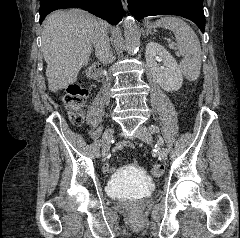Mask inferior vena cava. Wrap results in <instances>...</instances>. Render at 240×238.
Segmentation results:
<instances>
[{
	"instance_id": "1",
	"label": "inferior vena cava",
	"mask_w": 240,
	"mask_h": 238,
	"mask_svg": "<svg viewBox=\"0 0 240 238\" xmlns=\"http://www.w3.org/2000/svg\"><path fill=\"white\" fill-rule=\"evenodd\" d=\"M91 40L95 48L98 59L107 64L111 62L110 43L107 34V27L100 25L95 28L91 35Z\"/></svg>"
}]
</instances>
